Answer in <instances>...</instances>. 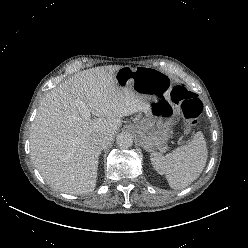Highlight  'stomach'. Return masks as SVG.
Segmentation results:
<instances>
[{
    "label": "stomach",
    "mask_w": 248,
    "mask_h": 248,
    "mask_svg": "<svg viewBox=\"0 0 248 248\" xmlns=\"http://www.w3.org/2000/svg\"><path fill=\"white\" fill-rule=\"evenodd\" d=\"M115 80L120 87L132 89L149 101L146 118L131 125L139 144L148 151L166 144L176 116L169 99L172 89L169 75L146 66L121 67L115 73Z\"/></svg>",
    "instance_id": "stomach-1"
}]
</instances>
